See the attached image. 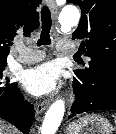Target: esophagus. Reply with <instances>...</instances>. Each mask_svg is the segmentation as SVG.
Returning a JSON list of instances; mask_svg holds the SVG:
<instances>
[{"mask_svg":"<svg viewBox=\"0 0 116 134\" xmlns=\"http://www.w3.org/2000/svg\"><path fill=\"white\" fill-rule=\"evenodd\" d=\"M47 3L50 6L52 15L54 18H57L58 15V7L56 5L55 0H47ZM50 101L49 100H45L39 104L36 105V114H41L44 110H46V108L49 106Z\"/></svg>","mask_w":116,"mask_h":134,"instance_id":"obj_1","label":"esophagus"}]
</instances>
